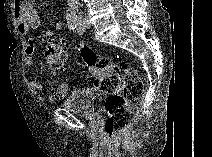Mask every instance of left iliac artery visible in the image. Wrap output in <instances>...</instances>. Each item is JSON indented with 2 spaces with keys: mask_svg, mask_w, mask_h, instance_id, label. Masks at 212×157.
<instances>
[{
  "mask_svg": "<svg viewBox=\"0 0 212 157\" xmlns=\"http://www.w3.org/2000/svg\"><path fill=\"white\" fill-rule=\"evenodd\" d=\"M76 31H77V33L78 34H83V32H84V28L81 26V23H80V21L78 20L77 21V28H76Z\"/></svg>",
  "mask_w": 212,
  "mask_h": 157,
  "instance_id": "44dca946",
  "label": "left iliac artery"
}]
</instances>
